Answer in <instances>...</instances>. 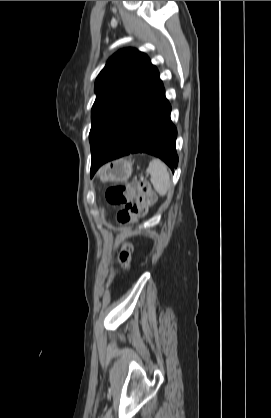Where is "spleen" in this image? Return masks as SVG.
<instances>
[{"label": "spleen", "mask_w": 271, "mask_h": 418, "mask_svg": "<svg viewBox=\"0 0 271 418\" xmlns=\"http://www.w3.org/2000/svg\"><path fill=\"white\" fill-rule=\"evenodd\" d=\"M146 172L150 174L151 183L157 193L165 196L171 185L167 166L161 160L153 159Z\"/></svg>", "instance_id": "obj_1"}]
</instances>
